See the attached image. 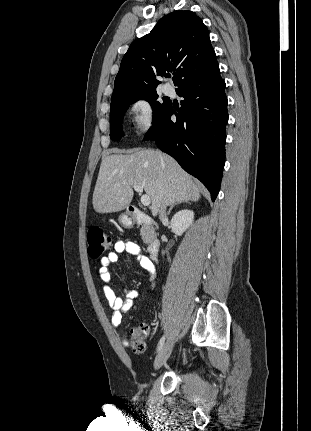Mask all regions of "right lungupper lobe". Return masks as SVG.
<instances>
[{
	"mask_svg": "<svg viewBox=\"0 0 311 431\" xmlns=\"http://www.w3.org/2000/svg\"><path fill=\"white\" fill-rule=\"evenodd\" d=\"M216 68V55L202 20L194 12L175 11L130 45L111 99L154 91L160 83L156 76L167 77V72L176 71L173 80L179 88Z\"/></svg>",
	"mask_w": 311,
	"mask_h": 431,
	"instance_id": "cb5924a9",
	"label": "right lung upper lobe"
}]
</instances>
